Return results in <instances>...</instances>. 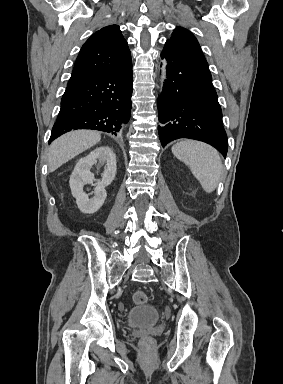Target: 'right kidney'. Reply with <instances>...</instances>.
I'll list each match as a JSON object with an SVG mask.
<instances>
[{
    "label": "right kidney",
    "mask_w": 283,
    "mask_h": 384,
    "mask_svg": "<svg viewBox=\"0 0 283 384\" xmlns=\"http://www.w3.org/2000/svg\"><path fill=\"white\" fill-rule=\"evenodd\" d=\"M100 166H105L104 172L102 174L101 180H97L96 184L94 182V174L90 172V168L97 164ZM116 174V156L108 146H100V148H95L93 152H90L86 158H81L78 164H76L69 180L71 194L76 200V204L83 212V214H94L97 212L101 206H103L106 198L107 192L105 190L106 186H109L113 182ZM85 184H92L96 186L93 194L94 198L89 200L88 194H85L83 188Z\"/></svg>",
    "instance_id": "obj_1"
}]
</instances>
